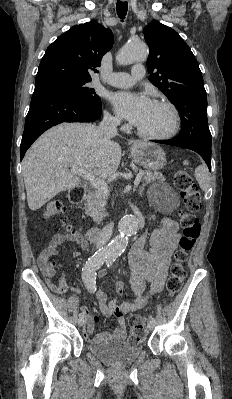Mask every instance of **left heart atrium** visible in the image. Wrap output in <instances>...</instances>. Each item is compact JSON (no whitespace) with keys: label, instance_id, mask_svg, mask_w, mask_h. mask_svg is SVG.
<instances>
[{"label":"left heart atrium","instance_id":"left-heart-atrium-1","mask_svg":"<svg viewBox=\"0 0 232 399\" xmlns=\"http://www.w3.org/2000/svg\"><path fill=\"white\" fill-rule=\"evenodd\" d=\"M112 102L116 112L134 125L144 119L151 107V103L144 97H136L127 93L113 95Z\"/></svg>","mask_w":232,"mask_h":399}]
</instances>
